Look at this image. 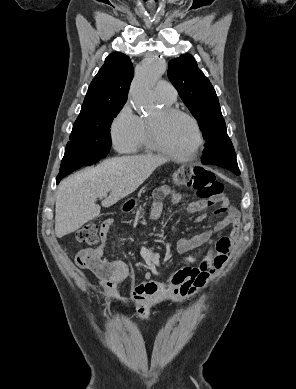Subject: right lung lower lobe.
<instances>
[{
  "label": "right lung lower lobe",
  "instance_id": "right-lung-lower-lobe-1",
  "mask_svg": "<svg viewBox=\"0 0 296 389\" xmlns=\"http://www.w3.org/2000/svg\"><path fill=\"white\" fill-rule=\"evenodd\" d=\"M69 173H71V172L70 171H62V172H60L59 175L56 178V183L58 184L60 182V180L63 177L67 176Z\"/></svg>",
  "mask_w": 296,
  "mask_h": 389
}]
</instances>
